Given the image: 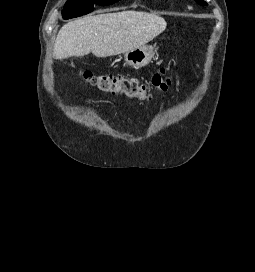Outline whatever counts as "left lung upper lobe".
<instances>
[{
	"label": "left lung upper lobe",
	"instance_id": "1",
	"mask_svg": "<svg viewBox=\"0 0 255 272\" xmlns=\"http://www.w3.org/2000/svg\"><path fill=\"white\" fill-rule=\"evenodd\" d=\"M199 5H202V6H204V5H207V3L205 2V1H203V0H195Z\"/></svg>",
	"mask_w": 255,
	"mask_h": 272
}]
</instances>
